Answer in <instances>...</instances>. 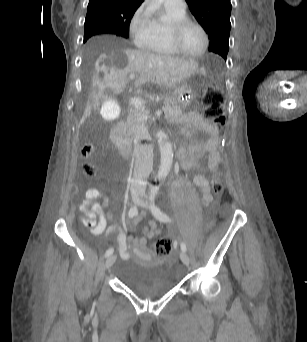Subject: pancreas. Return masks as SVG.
<instances>
[{
    "mask_svg": "<svg viewBox=\"0 0 307 342\" xmlns=\"http://www.w3.org/2000/svg\"><path fill=\"white\" fill-rule=\"evenodd\" d=\"M176 99H177V96L175 94H168L167 100H164L163 102L164 108H165L166 120H170V118H178V116H182V112L180 108H175V106H169V104H174Z\"/></svg>",
    "mask_w": 307,
    "mask_h": 342,
    "instance_id": "obj_1",
    "label": "pancreas"
}]
</instances>
